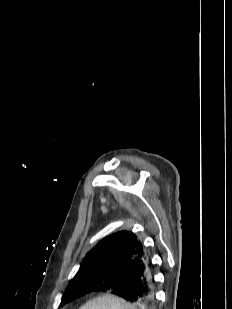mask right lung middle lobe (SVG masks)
Wrapping results in <instances>:
<instances>
[{"label":"right lung middle lobe","instance_id":"1","mask_svg":"<svg viewBox=\"0 0 232 309\" xmlns=\"http://www.w3.org/2000/svg\"><path fill=\"white\" fill-rule=\"evenodd\" d=\"M129 276L125 273H110L107 271H96L85 273L81 276L75 277L70 284L68 285L65 293L62 296V301L60 306L65 305L83 295L86 294V291L89 286L96 287L101 286L105 280L110 282L113 281H122L126 282Z\"/></svg>","mask_w":232,"mask_h":309}]
</instances>
